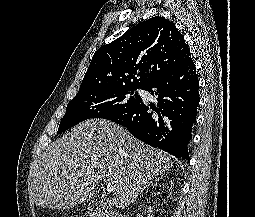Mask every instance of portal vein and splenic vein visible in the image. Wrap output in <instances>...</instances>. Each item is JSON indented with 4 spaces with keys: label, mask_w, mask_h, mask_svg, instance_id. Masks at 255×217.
Instances as JSON below:
<instances>
[{
    "label": "portal vein and splenic vein",
    "mask_w": 255,
    "mask_h": 217,
    "mask_svg": "<svg viewBox=\"0 0 255 217\" xmlns=\"http://www.w3.org/2000/svg\"><path fill=\"white\" fill-rule=\"evenodd\" d=\"M106 190H107V192L110 193V192H114L116 189L114 186H112L110 183H108L106 186Z\"/></svg>",
    "instance_id": "portal-vein-and-splenic-vein-1"
}]
</instances>
